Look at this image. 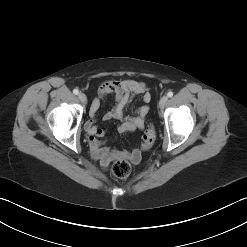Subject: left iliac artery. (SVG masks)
<instances>
[{"instance_id": "left-iliac-artery-1", "label": "left iliac artery", "mask_w": 247, "mask_h": 247, "mask_svg": "<svg viewBox=\"0 0 247 247\" xmlns=\"http://www.w3.org/2000/svg\"><path fill=\"white\" fill-rule=\"evenodd\" d=\"M168 97H172L173 96V92L172 91H170V92H168Z\"/></svg>"}]
</instances>
